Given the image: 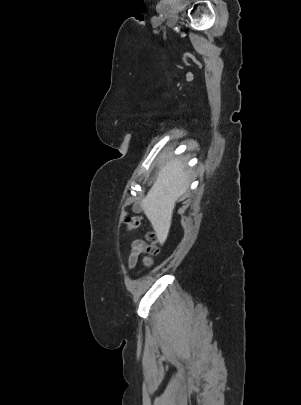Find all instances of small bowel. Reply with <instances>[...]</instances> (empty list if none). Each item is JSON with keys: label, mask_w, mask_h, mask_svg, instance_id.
<instances>
[{"label": "small bowel", "mask_w": 301, "mask_h": 405, "mask_svg": "<svg viewBox=\"0 0 301 405\" xmlns=\"http://www.w3.org/2000/svg\"><path fill=\"white\" fill-rule=\"evenodd\" d=\"M146 244L142 240H134L131 242V253L128 257V268L133 269L138 261L139 256L145 251Z\"/></svg>", "instance_id": "small-bowel-1"}]
</instances>
